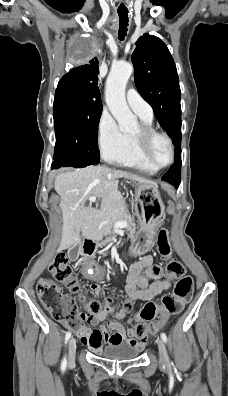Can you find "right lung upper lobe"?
I'll list each match as a JSON object with an SVG mask.
<instances>
[{"instance_id":"cb5924a9","label":"right lung upper lobe","mask_w":228,"mask_h":396,"mask_svg":"<svg viewBox=\"0 0 228 396\" xmlns=\"http://www.w3.org/2000/svg\"><path fill=\"white\" fill-rule=\"evenodd\" d=\"M98 74V60L94 57L87 64L73 68L65 74L56 90L72 92L78 98L90 103H101L97 86Z\"/></svg>"}]
</instances>
